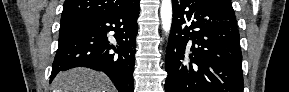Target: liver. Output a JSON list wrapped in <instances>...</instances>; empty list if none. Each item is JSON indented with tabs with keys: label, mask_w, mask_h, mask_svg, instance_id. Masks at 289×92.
I'll return each mask as SVG.
<instances>
[{
	"label": "liver",
	"mask_w": 289,
	"mask_h": 92,
	"mask_svg": "<svg viewBox=\"0 0 289 92\" xmlns=\"http://www.w3.org/2000/svg\"><path fill=\"white\" fill-rule=\"evenodd\" d=\"M53 92H115L110 79L91 69L74 68L60 72L52 82Z\"/></svg>",
	"instance_id": "6515ba94"
}]
</instances>
